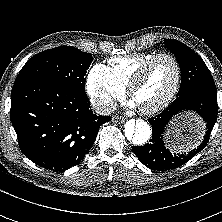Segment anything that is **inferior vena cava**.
Returning a JSON list of instances; mask_svg holds the SVG:
<instances>
[{
    "instance_id": "602c4592",
    "label": "inferior vena cava",
    "mask_w": 222,
    "mask_h": 222,
    "mask_svg": "<svg viewBox=\"0 0 222 222\" xmlns=\"http://www.w3.org/2000/svg\"><path fill=\"white\" fill-rule=\"evenodd\" d=\"M117 104L114 102L94 104L93 108L97 114L109 115L116 109Z\"/></svg>"
}]
</instances>
